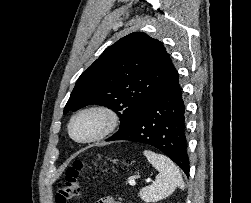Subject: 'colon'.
<instances>
[{
	"label": "colon",
	"instance_id": "1",
	"mask_svg": "<svg viewBox=\"0 0 251 203\" xmlns=\"http://www.w3.org/2000/svg\"><path fill=\"white\" fill-rule=\"evenodd\" d=\"M83 167L84 164L81 161H75L72 166L68 167L64 181L59 184L56 203H68L79 195V177Z\"/></svg>",
	"mask_w": 251,
	"mask_h": 203
}]
</instances>
